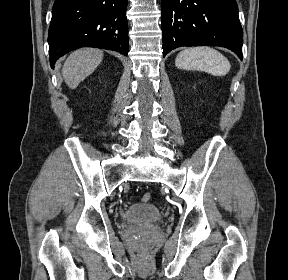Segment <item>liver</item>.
Wrapping results in <instances>:
<instances>
[{
	"mask_svg": "<svg viewBox=\"0 0 288 280\" xmlns=\"http://www.w3.org/2000/svg\"><path fill=\"white\" fill-rule=\"evenodd\" d=\"M103 52L98 49H80L65 61L62 73L69 88L75 89L81 81L94 72L102 62Z\"/></svg>",
	"mask_w": 288,
	"mask_h": 280,
	"instance_id": "1",
	"label": "liver"
}]
</instances>
